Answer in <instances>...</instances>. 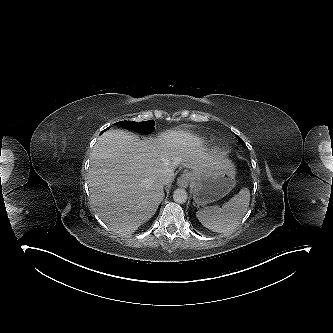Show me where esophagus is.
Listing matches in <instances>:
<instances>
[{"label":"esophagus","mask_w":333,"mask_h":333,"mask_svg":"<svg viewBox=\"0 0 333 333\" xmlns=\"http://www.w3.org/2000/svg\"><path fill=\"white\" fill-rule=\"evenodd\" d=\"M191 180V174L190 173H184L182 174L178 180H177V184L181 187H187L188 184L190 183Z\"/></svg>","instance_id":"34e87169"}]
</instances>
